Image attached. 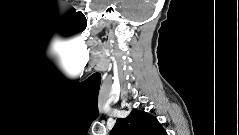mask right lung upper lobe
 <instances>
[{"label":"right lung upper lobe","instance_id":"right-lung-upper-lobe-1","mask_svg":"<svg viewBox=\"0 0 239 135\" xmlns=\"http://www.w3.org/2000/svg\"><path fill=\"white\" fill-rule=\"evenodd\" d=\"M111 135H165L158 120L147 112L132 110L126 118L117 119Z\"/></svg>","mask_w":239,"mask_h":135}]
</instances>
